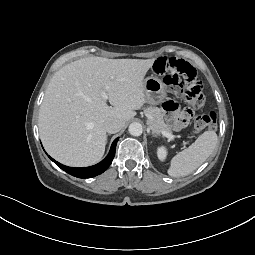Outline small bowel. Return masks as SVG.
<instances>
[{
    "label": "small bowel",
    "instance_id": "1",
    "mask_svg": "<svg viewBox=\"0 0 255 255\" xmlns=\"http://www.w3.org/2000/svg\"><path fill=\"white\" fill-rule=\"evenodd\" d=\"M164 108L166 110L167 117L173 122L175 128L181 129L186 126L189 116L180 112L176 103L167 102Z\"/></svg>",
    "mask_w": 255,
    "mask_h": 255
}]
</instances>
